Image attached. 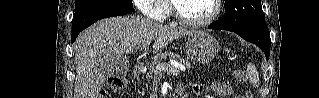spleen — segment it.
I'll list each match as a JSON object with an SVG mask.
<instances>
[{"mask_svg":"<svg viewBox=\"0 0 319 98\" xmlns=\"http://www.w3.org/2000/svg\"><path fill=\"white\" fill-rule=\"evenodd\" d=\"M247 76L249 79V82L253 85L258 87L259 85V74L256 70V67L252 65L251 63L247 66Z\"/></svg>","mask_w":319,"mask_h":98,"instance_id":"spleen-1","label":"spleen"}]
</instances>
